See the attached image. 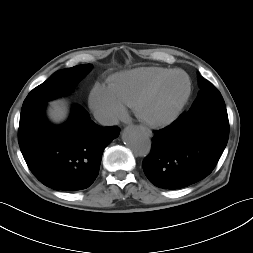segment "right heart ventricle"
<instances>
[{
  "instance_id": "right-heart-ventricle-1",
  "label": "right heart ventricle",
  "mask_w": 253,
  "mask_h": 253,
  "mask_svg": "<svg viewBox=\"0 0 253 253\" xmlns=\"http://www.w3.org/2000/svg\"><path fill=\"white\" fill-rule=\"evenodd\" d=\"M171 71L163 67H140L121 72L111 77L109 88L124 106L133 108L152 84Z\"/></svg>"
}]
</instances>
